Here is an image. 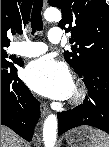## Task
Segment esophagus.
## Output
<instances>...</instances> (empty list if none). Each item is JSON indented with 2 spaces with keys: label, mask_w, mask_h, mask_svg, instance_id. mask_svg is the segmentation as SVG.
<instances>
[{
  "label": "esophagus",
  "mask_w": 109,
  "mask_h": 147,
  "mask_svg": "<svg viewBox=\"0 0 109 147\" xmlns=\"http://www.w3.org/2000/svg\"><path fill=\"white\" fill-rule=\"evenodd\" d=\"M46 3H47V1L44 0L43 1L44 6L46 5ZM40 111H41L42 117H45L48 114V111H49L47 105L41 103V105H40Z\"/></svg>",
  "instance_id": "obj_1"
}]
</instances>
